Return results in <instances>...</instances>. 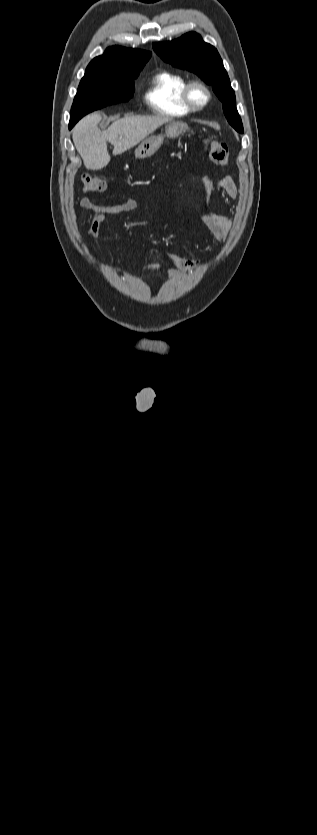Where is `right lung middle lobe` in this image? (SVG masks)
Wrapping results in <instances>:
<instances>
[{"label":"right lung middle lobe","mask_w":317,"mask_h":835,"mask_svg":"<svg viewBox=\"0 0 317 835\" xmlns=\"http://www.w3.org/2000/svg\"><path fill=\"white\" fill-rule=\"evenodd\" d=\"M142 68L84 75L71 108L69 128L94 110L128 101L134 93L133 79Z\"/></svg>","instance_id":"dd1d6c3e"}]
</instances>
